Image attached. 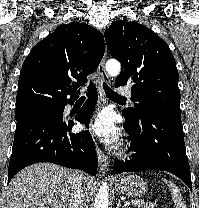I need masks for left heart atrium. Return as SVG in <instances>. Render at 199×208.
Here are the masks:
<instances>
[{
	"mask_svg": "<svg viewBox=\"0 0 199 208\" xmlns=\"http://www.w3.org/2000/svg\"><path fill=\"white\" fill-rule=\"evenodd\" d=\"M83 127L96 137L108 143L115 142L117 138V129L114 127L112 121L105 113H99L85 123Z\"/></svg>",
	"mask_w": 199,
	"mask_h": 208,
	"instance_id": "obj_1",
	"label": "left heart atrium"
}]
</instances>
